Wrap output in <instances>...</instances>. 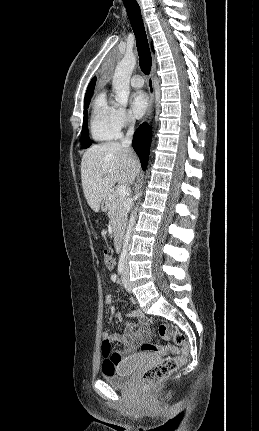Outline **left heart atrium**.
<instances>
[{"instance_id":"left-heart-atrium-1","label":"left heart atrium","mask_w":259,"mask_h":431,"mask_svg":"<svg viewBox=\"0 0 259 431\" xmlns=\"http://www.w3.org/2000/svg\"><path fill=\"white\" fill-rule=\"evenodd\" d=\"M149 105L148 96L143 91H137L131 98V111L136 118H141Z\"/></svg>"}]
</instances>
